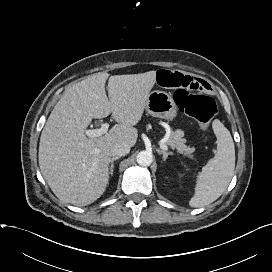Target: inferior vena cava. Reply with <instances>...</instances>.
I'll use <instances>...</instances> for the list:
<instances>
[{"label":"inferior vena cava","mask_w":272,"mask_h":272,"mask_svg":"<svg viewBox=\"0 0 272 272\" xmlns=\"http://www.w3.org/2000/svg\"><path fill=\"white\" fill-rule=\"evenodd\" d=\"M130 152V146L126 143H117L111 148V154L116 157L125 156Z\"/></svg>","instance_id":"inferior-vena-cava-1"}]
</instances>
